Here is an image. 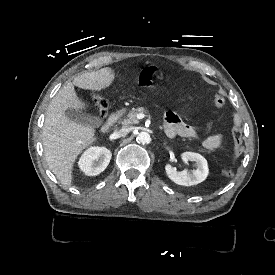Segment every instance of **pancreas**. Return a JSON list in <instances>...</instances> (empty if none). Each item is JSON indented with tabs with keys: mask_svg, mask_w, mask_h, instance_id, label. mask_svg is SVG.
Listing matches in <instances>:
<instances>
[{
	"mask_svg": "<svg viewBox=\"0 0 275 275\" xmlns=\"http://www.w3.org/2000/svg\"><path fill=\"white\" fill-rule=\"evenodd\" d=\"M142 113V114H147L149 113L148 107L143 106L139 108H134L130 112L126 114V110L122 109L117 112L118 114V122L124 125H131V124H137L138 120L136 118L137 114Z\"/></svg>",
	"mask_w": 275,
	"mask_h": 275,
	"instance_id": "obj_1",
	"label": "pancreas"
}]
</instances>
